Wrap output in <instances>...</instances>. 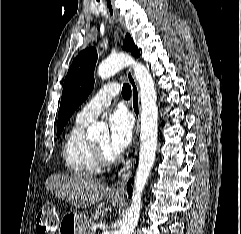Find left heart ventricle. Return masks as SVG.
<instances>
[{
    "label": "left heart ventricle",
    "mask_w": 241,
    "mask_h": 234,
    "mask_svg": "<svg viewBox=\"0 0 241 234\" xmlns=\"http://www.w3.org/2000/svg\"><path fill=\"white\" fill-rule=\"evenodd\" d=\"M102 147H104L109 155H115V153L111 150L109 145V136L107 134L101 136L96 140Z\"/></svg>",
    "instance_id": "1"
}]
</instances>
